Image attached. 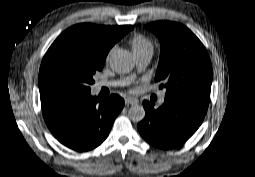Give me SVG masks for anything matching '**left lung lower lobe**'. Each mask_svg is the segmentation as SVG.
Here are the masks:
<instances>
[{
  "instance_id": "left-lung-lower-lobe-1",
  "label": "left lung lower lobe",
  "mask_w": 255,
  "mask_h": 177,
  "mask_svg": "<svg viewBox=\"0 0 255 177\" xmlns=\"http://www.w3.org/2000/svg\"><path fill=\"white\" fill-rule=\"evenodd\" d=\"M210 96L179 95L165 97L158 109L144 101L145 118L138 124L142 137L160 149H171L190 138L202 123Z\"/></svg>"
}]
</instances>
